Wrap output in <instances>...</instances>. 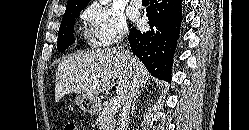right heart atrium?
<instances>
[{"instance_id": "obj_1", "label": "right heart atrium", "mask_w": 249, "mask_h": 130, "mask_svg": "<svg viewBox=\"0 0 249 130\" xmlns=\"http://www.w3.org/2000/svg\"><path fill=\"white\" fill-rule=\"evenodd\" d=\"M82 18L89 26L91 41L97 46H111L127 33L123 13L112 5L93 2L83 11Z\"/></svg>"}]
</instances>
